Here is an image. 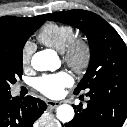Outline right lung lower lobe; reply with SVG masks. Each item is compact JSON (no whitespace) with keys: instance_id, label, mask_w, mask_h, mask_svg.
<instances>
[{"instance_id":"1","label":"right lung lower lobe","mask_w":127,"mask_h":127,"mask_svg":"<svg viewBox=\"0 0 127 127\" xmlns=\"http://www.w3.org/2000/svg\"><path fill=\"white\" fill-rule=\"evenodd\" d=\"M45 109V102L31 96L22 100L10 93L0 95V127H33Z\"/></svg>"}]
</instances>
